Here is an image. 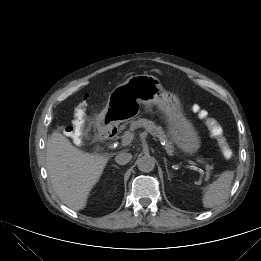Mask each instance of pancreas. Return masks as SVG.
I'll return each instance as SVG.
<instances>
[{"label":"pancreas","mask_w":261,"mask_h":261,"mask_svg":"<svg viewBox=\"0 0 261 261\" xmlns=\"http://www.w3.org/2000/svg\"><path fill=\"white\" fill-rule=\"evenodd\" d=\"M140 127H143L148 133H150L154 137H157L160 141H164L166 143L165 148L167 151H173L172 142L171 140H169L168 135L165 133L161 126H158L153 121L145 118H139L138 120L132 121L130 124L131 131ZM206 168L207 177H209V170L212 169V167L207 165Z\"/></svg>","instance_id":"1"}]
</instances>
